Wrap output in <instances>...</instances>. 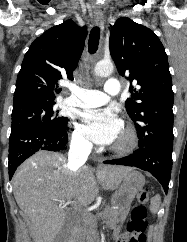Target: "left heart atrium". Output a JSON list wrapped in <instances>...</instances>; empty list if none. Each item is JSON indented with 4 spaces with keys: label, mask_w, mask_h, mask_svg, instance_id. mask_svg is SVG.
<instances>
[{
    "label": "left heart atrium",
    "mask_w": 187,
    "mask_h": 242,
    "mask_svg": "<svg viewBox=\"0 0 187 242\" xmlns=\"http://www.w3.org/2000/svg\"><path fill=\"white\" fill-rule=\"evenodd\" d=\"M83 133L100 145H110L117 139L123 125L109 108L91 109L80 114Z\"/></svg>",
    "instance_id": "left-heart-atrium-1"
}]
</instances>
